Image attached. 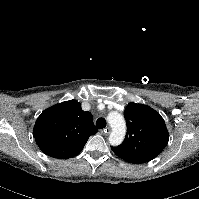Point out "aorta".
I'll return each instance as SVG.
<instances>
[{"label": "aorta", "mask_w": 199, "mask_h": 199, "mask_svg": "<svg viewBox=\"0 0 199 199\" xmlns=\"http://www.w3.org/2000/svg\"><path fill=\"white\" fill-rule=\"evenodd\" d=\"M107 121L112 128L109 143L113 146H118L123 142L126 134L125 119L117 111H112L108 114Z\"/></svg>", "instance_id": "762f6f07"}]
</instances>
